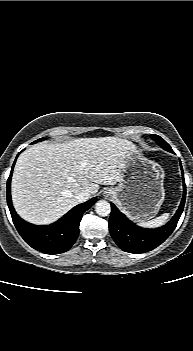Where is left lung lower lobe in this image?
<instances>
[{
  "label": "left lung lower lobe",
  "instance_id": "obj_1",
  "mask_svg": "<svg viewBox=\"0 0 193 351\" xmlns=\"http://www.w3.org/2000/svg\"><path fill=\"white\" fill-rule=\"evenodd\" d=\"M182 176L184 191L180 206L172 219L160 228L144 229L135 225L124 214H122L113 203H111L109 231L115 243L123 251L129 253H145L159 246L170 236L184 209L186 185L183 170Z\"/></svg>",
  "mask_w": 193,
  "mask_h": 351
}]
</instances>
